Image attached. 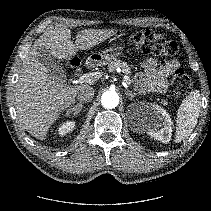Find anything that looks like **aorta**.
Here are the masks:
<instances>
[{
  "instance_id": "aorta-1",
  "label": "aorta",
  "mask_w": 211,
  "mask_h": 211,
  "mask_svg": "<svg viewBox=\"0 0 211 211\" xmlns=\"http://www.w3.org/2000/svg\"><path fill=\"white\" fill-rule=\"evenodd\" d=\"M101 103L107 109H113L119 104V96L115 91H106L102 94Z\"/></svg>"
}]
</instances>
